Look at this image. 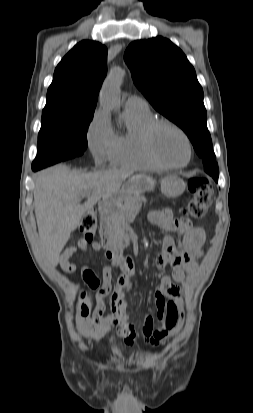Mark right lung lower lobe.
Masks as SVG:
<instances>
[{"mask_svg":"<svg viewBox=\"0 0 253 413\" xmlns=\"http://www.w3.org/2000/svg\"><path fill=\"white\" fill-rule=\"evenodd\" d=\"M33 171H37V170H39V169H32Z\"/></svg>","mask_w":253,"mask_h":413,"instance_id":"1","label":"right lung lower lobe"}]
</instances>
